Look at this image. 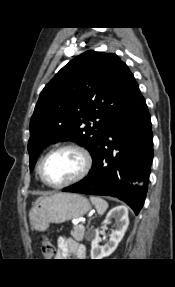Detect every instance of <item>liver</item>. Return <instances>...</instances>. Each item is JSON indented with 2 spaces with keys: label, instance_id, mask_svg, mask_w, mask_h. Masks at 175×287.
I'll return each instance as SVG.
<instances>
[{
  "label": "liver",
  "instance_id": "1",
  "mask_svg": "<svg viewBox=\"0 0 175 287\" xmlns=\"http://www.w3.org/2000/svg\"><path fill=\"white\" fill-rule=\"evenodd\" d=\"M44 197H39L37 200H36V203L38 202V201H40L41 199H43Z\"/></svg>",
  "mask_w": 175,
  "mask_h": 287
}]
</instances>
